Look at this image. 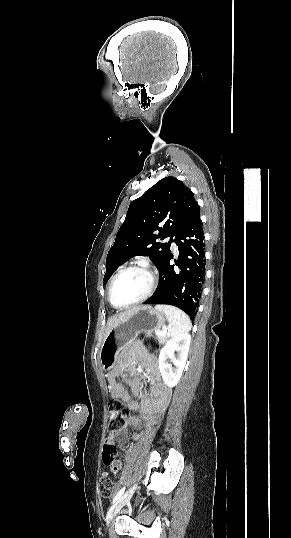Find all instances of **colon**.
<instances>
[{
    "mask_svg": "<svg viewBox=\"0 0 291 538\" xmlns=\"http://www.w3.org/2000/svg\"><path fill=\"white\" fill-rule=\"evenodd\" d=\"M145 347L149 351H156L159 347V341L154 337H145L143 340ZM109 429L110 440L107 441L103 447L102 458L103 462L111 467L116 462V448L113 444L112 438L123 429L126 424L128 416V407L125 403L117 398H112L109 401ZM99 492L105 497H111L115 492V484L111 474L103 473L99 478Z\"/></svg>",
    "mask_w": 291,
    "mask_h": 538,
    "instance_id": "obj_1",
    "label": "colon"
}]
</instances>
